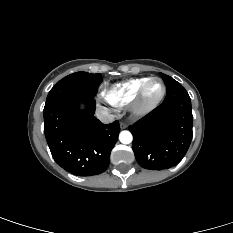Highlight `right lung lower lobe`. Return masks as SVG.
<instances>
[{
    "label": "right lung lower lobe",
    "mask_w": 233,
    "mask_h": 233,
    "mask_svg": "<svg viewBox=\"0 0 233 233\" xmlns=\"http://www.w3.org/2000/svg\"><path fill=\"white\" fill-rule=\"evenodd\" d=\"M87 104L83 112L78 102ZM95 100L91 96L61 100L44 108V131L55 162L77 176L104 172L120 132L119 122L103 124L93 115Z\"/></svg>",
    "instance_id": "right-lung-lower-lobe-1"
}]
</instances>
